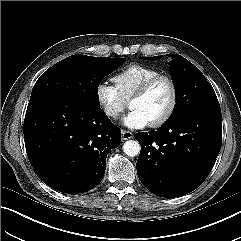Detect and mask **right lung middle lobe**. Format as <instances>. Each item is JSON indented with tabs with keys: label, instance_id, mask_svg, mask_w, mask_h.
I'll return each instance as SVG.
<instances>
[{
	"label": "right lung middle lobe",
	"instance_id": "1",
	"mask_svg": "<svg viewBox=\"0 0 241 241\" xmlns=\"http://www.w3.org/2000/svg\"><path fill=\"white\" fill-rule=\"evenodd\" d=\"M125 61V58L91 57L81 54L67 57L40 76L33 87L30 101L60 96L84 107L99 108L100 82Z\"/></svg>",
	"mask_w": 241,
	"mask_h": 241
}]
</instances>
